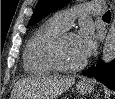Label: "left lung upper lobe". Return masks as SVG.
I'll return each instance as SVG.
<instances>
[{
	"label": "left lung upper lobe",
	"mask_w": 115,
	"mask_h": 99,
	"mask_svg": "<svg viewBox=\"0 0 115 99\" xmlns=\"http://www.w3.org/2000/svg\"><path fill=\"white\" fill-rule=\"evenodd\" d=\"M68 2L69 0H39L28 26L37 23L47 14L64 6Z\"/></svg>",
	"instance_id": "5c2ea615"
}]
</instances>
